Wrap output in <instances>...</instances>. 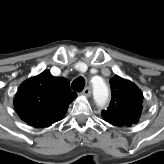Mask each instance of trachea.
I'll return each mask as SVG.
<instances>
[{"label":"trachea","instance_id":"1","mask_svg":"<svg viewBox=\"0 0 164 164\" xmlns=\"http://www.w3.org/2000/svg\"><path fill=\"white\" fill-rule=\"evenodd\" d=\"M85 86V80L83 77H77L73 82H72V89L76 92H80L83 90Z\"/></svg>","mask_w":164,"mask_h":164}]
</instances>
